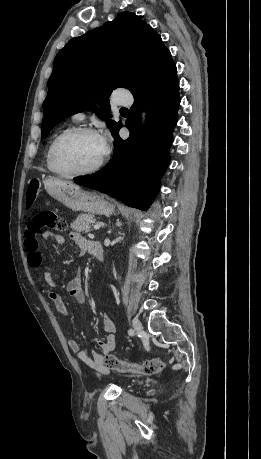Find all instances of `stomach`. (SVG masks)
<instances>
[{"label": "stomach", "instance_id": "1", "mask_svg": "<svg viewBox=\"0 0 261 459\" xmlns=\"http://www.w3.org/2000/svg\"><path fill=\"white\" fill-rule=\"evenodd\" d=\"M44 185L50 196L73 211L110 215L115 210V205L103 195L85 191L70 181L49 177Z\"/></svg>", "mask_w": 261, "mask_h": 459}]
</instances>
